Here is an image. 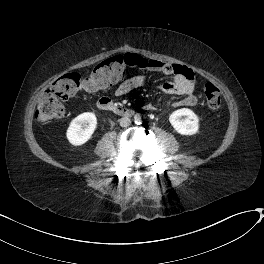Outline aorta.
Wrapping results in <instances>:
<instances>
[{"mask_svg": "<svg viewBox=\"0 0 264 264\" xmlns=\"http://www.w3.org/2000/svg\"><path fill=\"white\" fill-rule=\"evenodd\" d=\"M142 120H143V118H142V116L140 114H136L134 116V121H135L136 124H141Z\"/></svg>", "mask_w": 264, "mask_h": 264, "instance_id": "762f6f07", "label": "aorta"}]
</instances>
